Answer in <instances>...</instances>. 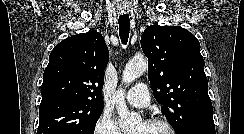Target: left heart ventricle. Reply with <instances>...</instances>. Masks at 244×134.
<instances>
[{
    "mask_svg": "<svg viewBox=\"0 0 244 134\" xmlns=\"http://www.w3.org/2000/svg\"><path fill=\"white\" fill-rule=\"evenodd\" d=\"M132 134H170V133L163 126L140 123L133 130Z\"/></svg>",
    "mask_w": 244,
    "mask_h": 134,
    "instance_id": "obj_1",
    "label": "left heart ventricle"
}]
</instances>
